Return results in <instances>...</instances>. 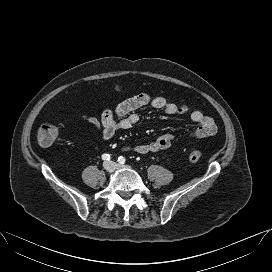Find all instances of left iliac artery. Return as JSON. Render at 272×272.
I'll return each instance as SVG.
<instances>
[{
    "label": "left iliac artery",
    "mask_w": 272,
    "mask_h": 272,
    "mask_svg": "<svg viewBox=\"0 0 272 272\" xmlns=\"http://www.w3.org/2000/svg\"><path fill=\"white\" fill-rule=\"evenodd\" d=\"M118 162L120 163V164H125V162H126V159L123 157V156H120L119 158H118Z\"/></svg>",
    "instance_id": "1"
}]
</instances>
